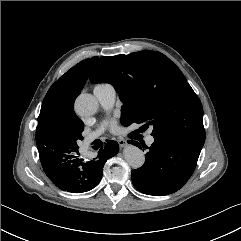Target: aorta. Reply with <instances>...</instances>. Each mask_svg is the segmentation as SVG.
Returning <instances> with one entry per match:
<instances>
[{
    "mask_svg": "<svg viewBox=\"0 0 241 241\" xmlns=\"http://www.w3.org/2000/svg\"><path fill=\"white\" fill-rule=\"evenodd\" d=\"M99 104L97 99L91 94H80L75 100V111L80 116L94 115L98 110ZM124 156L127 163L134 169L143 166L145 156L142 150L133 145H128L124 149Z\"/></svg>",
    "mask_w": 241,
    "mask_h": 241,
    "instance_id": "aorta-1",
    "label": "aorta"
}]
</instances>
